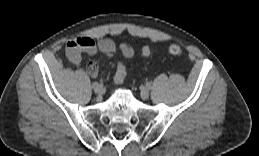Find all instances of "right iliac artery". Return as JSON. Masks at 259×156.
Instances as JSON below:
<instances>
[{"label": "right iliac artery", "mask_w": 259, "mask_h": 156, "mask_svg": "<svg viewBox=\"0 0 259 156\" xmlns=\"http://www.w3.org/2000/svg\"><path fill=\"white\" fill-rule=\"evenodd\" d=\"M98 85H99L98 82H94L93 85H92V87L95 88V87H97Z\"/></svg>", "instance_id": "obj_1"}]
</instances>
